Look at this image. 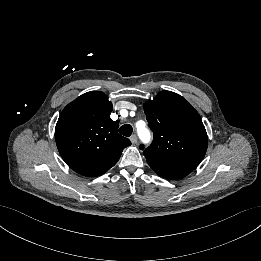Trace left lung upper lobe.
Returning <instances> with one entry per match:
<instances>
[{"mask_svg":"<svg viewBox=\"0 0 261 261\" xmlns=\"http://www.w3.org/2000/svg\"><path fill=\"white\" fill-rule=\"evenodd\" d=\"M144 111L154 134L148 148L140 146L149 166L185 177L207 150V133L199 114L182 96L170 91H161L147 101Z\"/></svg>","mask_w":261,"mask_h":261,"instance_id":"1","label":"left lung upper lobe"}]
</instances>
